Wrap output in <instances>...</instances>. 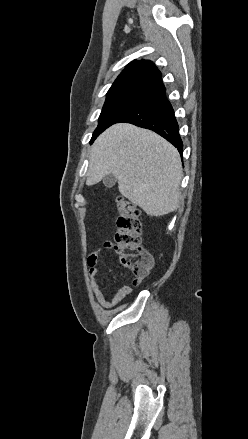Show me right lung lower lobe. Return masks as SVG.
Listing matches in <instances>:
<instances>
[{"label": "right lung lower lobe", "mask_w": 248, "mask_h": 439, "mask_svg": "<svg viewBox=\"0 0 248 439\" xmlns=\"http://www.w3.org/2000/svg\"><path fill=\"white\" fill-rule=\"evenodd\" d=\"M119 122L131 123L158 133L173 144L182 155L183 143L179 135L178 123L165 92L150 99L117 123Z\"/></svg>", "instance_id": "right-lung-lower-lobe-1"}]
</instances>
